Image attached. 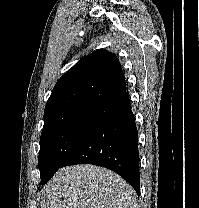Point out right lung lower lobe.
<instances>
[{"instance_id": "98d812e1", "label": "right lung lower lobe", "mask_w": 199, "mask_h": 208, "mask_svg": "<svg viewBox=\"0 0 199 208\" xmlns=\"http://www.w3.org/2000/svg\"><path fill=\"white\" fill-rule=\"evenodd\" d=\"M139 161L138 132L125 91L100 107L60 168L75 164L106 167L124 178L139 195Z\"/></svg>"}]
</instances>
